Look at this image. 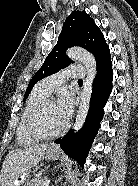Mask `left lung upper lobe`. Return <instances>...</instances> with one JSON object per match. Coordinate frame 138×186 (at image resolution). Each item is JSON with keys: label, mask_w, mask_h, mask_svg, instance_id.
Segmentation results:
<instances>
[{"label": "left lung upper lobe", "mask_w": 138, "mask_h": 186, "mask_svg": "<svg viewBox=\"0 0 138 186\" xmlns=\"http://www.w3.org/2000/svg\"><path fill=\"white\" fill-rule=\"evenodd\" d=\"M72 46H80L90 51L95 56L98 69L111 62L109 47L94 20L85 11H73L63 24L57 44L31 79L24 100L36 82L57 73L71 63L66 56V50Z\"/></svg>", "instance_id": "5c2ea615"}]
</instances>
